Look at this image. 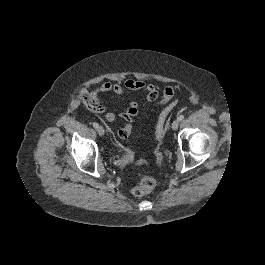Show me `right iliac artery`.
I'll return each instance as SVG.
<instances>
[{
	"label": "right iliac artery",
	"mask_w": 265,
	"mask_h": 265,
	"mask_svg": "<svg viewBox=\"0 0 265 265\" xmlns=\"http://www.w3.org/2000/svg\"><path fill=\"white\" fill-rule=\"evenodd\" d=\"M98 126H99V125H98L97 123H95V122L93 123V127H94V128H97Z\"/></svg>",
	"instance_id": "82829eb1"
}]
</instances>
